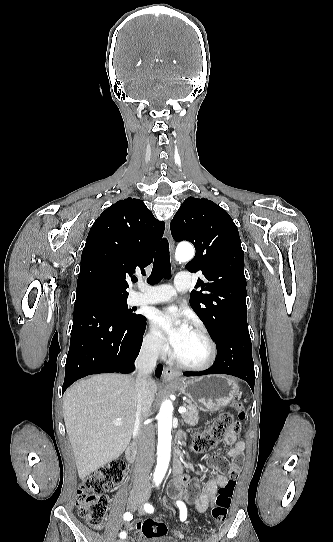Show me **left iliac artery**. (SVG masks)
<instances>
[{"mask_svg":"<svg viewBox=\"0 0 333 542\" xmlns=\"http://www.w3.org/2000/svg\"><path fill=\"white\" fill-rule=\"evenodd\" d=\"M156 485L158 486L159 483H156ZM176 503H177V506L180 509V519H181V521L186 520V518H187V509H186L185 504L182 501H177ZM144 509L148 513H153L154 512V508L150 504H145Z\"/></svg>","mask_w":333,"mask_h":542,"instance_id":"44dca946","label":"left iliac artery"}]
</instances>
